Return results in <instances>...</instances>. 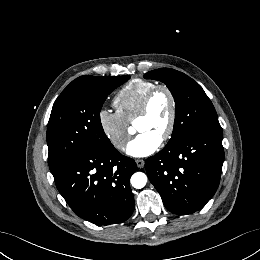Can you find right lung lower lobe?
Wrapping results in <instances>:
<instances>
[{"label":"right lung lower lobe","mask_w":260,"mask_h":260,"mask_svg":"<svg viewBox=\"0 0 260 260\" xmlns=\"http://www.w3.org/2000/svg\"><path fill=\"white\" fill-rule=\"evenodd\" d=\"M137 165L114 147L106 152H81L51 170L57 189L81 218L97 225L118 224L134 210L129 186Z\"/></svg>","instance_id":"obj_1"}]
</instances>
